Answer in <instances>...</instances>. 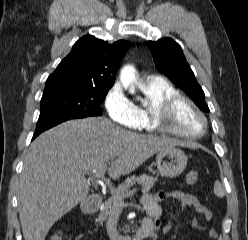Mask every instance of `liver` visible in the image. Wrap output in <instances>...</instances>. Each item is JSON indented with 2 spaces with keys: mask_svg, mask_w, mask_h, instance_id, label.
Wrapping results in <instances>:
<instances>
[{
  "mask_svg": "<svg viewBox=\"0 0 248 240\" xmlns=\"http://www.w3.org/2000/svg\"><path fill=\"white\" fill-rule=\"evenodd\" d=\"M179 145L176 139L127 131L101 117L66 121L44 132L32 142L20 177L25 240H44L56 221L87 200V171L111 161L108 173L117 179Z\"/></svg>",
  "mask_w": 248,
  "mask_h": 240,
  "instance_id": "liver-1",
  "label": "liver"
}]
</instances>
